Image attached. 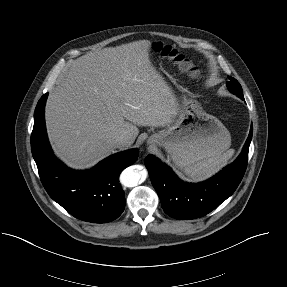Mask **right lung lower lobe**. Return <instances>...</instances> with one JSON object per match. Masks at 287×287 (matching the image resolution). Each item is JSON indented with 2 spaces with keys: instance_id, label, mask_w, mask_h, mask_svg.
Instances as JSON below:
<instances>
[{
  "instance_id": "1",
  "label": "right lung lower lobe",
  "mask_w": 287,
  "mask_h": 287,
  "mask_svg": "<svg viewBox=\"0 0 287 287\" xmlns=\"http://www.w3.org/2000/svg\"><path fill=\"white\" fill-rule=\"evenodd\" d=\"M47 95L36 106L31 134L32 155L44 188L54 201L80 220L93 223L115 220L125 208V194L118 177L137 160L138 150L114 154L90 170L67 168L55 158L48 142L44 120Z\"/></svg>"
}]
</instances>
